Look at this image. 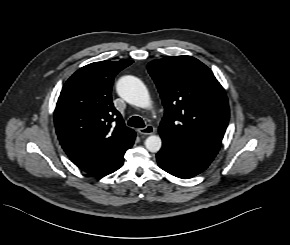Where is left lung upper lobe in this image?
Wrapping results in <instances>:
<instances>
[{
    "label": "left lung upper lobe",
    "instance_id": "left-lung-upper-lobe-1",
    "mask_svg": "<svg viewBox=\"0 0 290 245\" xmlns=\"http://www.w3.org/2000/svg\"><path fill=\"white\" fill-rule=\"evenodd\" d=\"M147 68L165 107L160 134L216 156L228 126L229 105L212 71L191 56H167Z\"/></svg>",
    "mask_w": 290,
    "mask_h": 245
}]
</instances>
